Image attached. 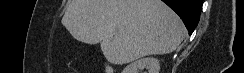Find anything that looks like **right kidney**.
<instances>
[{
    "instance_id": "obj_1",
    "label": "right kidney",
    "mask_w": 244,
    "mask_h": 73,
    "mask_svg": "<svg viewBox=\"0 0 244 73\" xmlns=\"http://www.w3.org/2000/svg\"><path fill=\"white\" fill-rule=\"evenodd\" d=\"M144 68L148 70V73H159L160 63L153 57L142 58L127 65L122 73H139Z\"/></svg>"
}]
</instances>
